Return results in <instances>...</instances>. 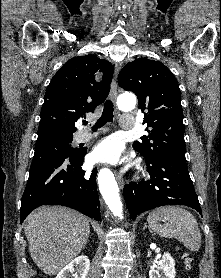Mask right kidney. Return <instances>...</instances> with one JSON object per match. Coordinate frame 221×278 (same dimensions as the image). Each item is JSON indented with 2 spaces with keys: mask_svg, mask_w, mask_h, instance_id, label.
Segmentation results:
<instances>
[{
  "mask_svg": "<svg viewBox=\"0 0 221 278\" xmlns=\"http://www.w3.org/2000/svg\"><path fill=\"white\" fill-rule=\"evenodd\" d=\"M89 268V258L81 255L66 265L55 278H69L70 276L74 278H86Z\"/></svg>",
  "mask_w": 221,
  "mask_h": 278,
  "instance_id": "obj_1",
  "label": "right kidney"
}]
</instances>
